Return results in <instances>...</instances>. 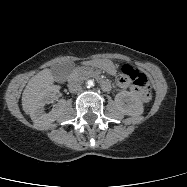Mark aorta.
<instances>
[{
    "label": "aorta",
    "instance_id": "obj_1",
    "mask_svg": "<svg viewBox=\"0 0 187 187\" xmlns=\"http://www.w3.org/2000/svg\"><path fill=\"white\" fill-rule=\"evenodd\" d=\"M92 86H94V82L93 81H88L87 82V87L90 88Z\"/></svg>",
    "mask_w": 187,
    "mask_h": 187
}]
</instances>
